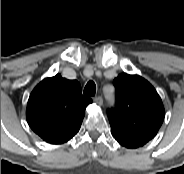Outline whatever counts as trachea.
<instances>
[{
    "instance_id": "3493384b",
    "label": "trachea",
    "mask_w": 184,
    "mask_h": 174,
    "mask_svg": "<svg viewBox=\"0 0 184 174\" xmlns=\"http://www.w3.org/2000/svg\"><path fill=\"white\" fill-rule=\"evenodd\" d=\"M95 93H96V85L93 81H89L84 88V94L87 96H94Z\"/></svg>"
}]
</instances>
